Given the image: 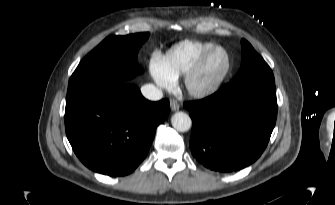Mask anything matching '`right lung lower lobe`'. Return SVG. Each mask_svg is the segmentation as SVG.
I'll list each match as a JSON object with an SVG mask.
<instances>
[{
	"instance_id": "1",
	"label": "right lung lower lobe",
	"mask_w": 335,
	"mask_h": 205,
	"mask_svg": "<svg viewBox=\"0 0 335 205\" xmlns=\"http://www.w3.org/2000/svg\"><path fill=\"white\" fill-rule=\"evenodd\" d=\"M168 113L167 99L151 102L133 84L100 77L68 89L65 130L85 166L124 176L144 160Z\"/></svg>"
}]
</instances>
